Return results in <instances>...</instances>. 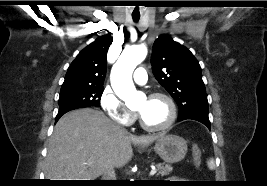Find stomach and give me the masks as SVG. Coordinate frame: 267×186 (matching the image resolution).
I'll list each match as a JSON object with an SVG mask.
<instances>
[{
	"label": "stomach",
	"mask_w": 267,
	"mask_h": 186,
	"mask_svg": "<svg viewBox=\"0 0 267 186\" xmlns=\"http://www.w3.org/2000/svg\"><path fill=\"white\" fill-rule=\"evenodd\" d=\"M154 150L165 162L176 163L184 159L187 143L177 135L163 134L157 139Z\"/></svg>",
	"instance_id": "1"
}]
</instances>
